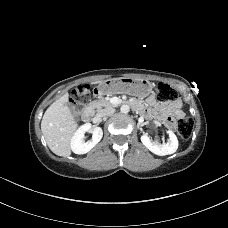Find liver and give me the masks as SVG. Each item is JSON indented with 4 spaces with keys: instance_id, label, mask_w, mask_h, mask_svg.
Returning a JSON list of instances; mask_svg holds the SVG:
<instances>
[{
    "instance_id": "obj_1",
    "label": "liver",
    "mask_w": 228,
    "mask_h": 228,
    "mask_svg": "<svg viewBox=\"0 0 228 228\" xmlns=\"http://www.w3.org/2000/svg\"><path fill=\"white\" fill-rule=\"evenodd\" d=\"M67 102L66 93L46 110L41 121V131L48 147L53 153L63 157L71 155L70 142L78 127Z\"/></svg>"
}]
</instances>
